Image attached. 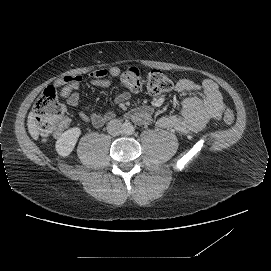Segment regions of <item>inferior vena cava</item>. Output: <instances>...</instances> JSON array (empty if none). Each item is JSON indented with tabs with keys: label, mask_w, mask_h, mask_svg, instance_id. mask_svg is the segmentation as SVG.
<instances>
[{
	"label": "inferior vena cava",
	"mask_w": 271,
	"mask_h": 271,
	"mask_svg": "<svg viewBox=\"0 0 271 271\" xmlns=\"http://www.w3.org/2000/svg\"><path fill=\"white\" fill-rule=\"evenodd\" d=\"M107 131L112 136H117L122 131V124L119 120H111L107 125Z\"/></svg>",
	"instance_id": "602c4592"
}]
</instances>
